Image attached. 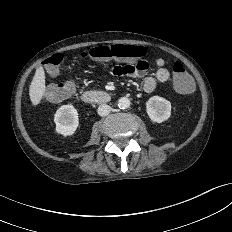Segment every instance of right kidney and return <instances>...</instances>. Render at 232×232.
Wrapping results in <instances>:
<instances>
[{
  "label": "right kidney",
  "instance_id": "1",
  "mask_svg": "<svg viewBox=\"0 0 232 232\" xmlns=\"http://www.w3.org/2000/svg\"><path fill=\"white\" fill-rule=\"evenodd\" d=\"M56 131L63 136H71L75 133L79 118L73 105H62L54 115Z\"/></svg>",
  "mask_w": 232,
  "mask_h": 232
}]
</instances>
